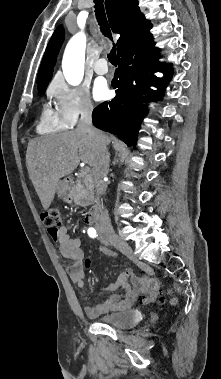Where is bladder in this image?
<instances>
[{
	"label": "bladder",
	"mask_w": 221,
	"mask_h": 379,
	"mask_svg": "<svg viewBox=\"0 0 221 379\" xmlns=\"http://www.w3.org/2000/svg\"><path fill=\"white\" fill-rule=\"evenodd\" d=\"M141 314L135 309L122 311H112L99 315L96 320L102 324L119 328L127 329L134 327L141 320Z\"/></svg>",
	"instance_id": "obj_1"
}]
</instances>
